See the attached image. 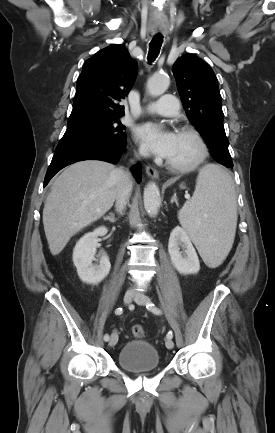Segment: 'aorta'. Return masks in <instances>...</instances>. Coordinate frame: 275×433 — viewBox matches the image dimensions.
Segmentation results:
<instances>
[{
	"instance_id": "aorta-1",
	"label": "aorta",
	"mask_w": 275,
	"mask_h": 433,
	"mask_svg": "<svg viewBox=\"0 0 275 433\" xmlns=\"http://www.w3.org/2000/svg\"><path fill=\"white\" fill-rule=\"evenodd\" d=\"M169 78L166 75L155 74L147 82V90L150 95L157 97L162 95L169 86ZM144 208L146 212L154 217L158 214L161 197L158 186L154 182H149L143 194Z\"/></svg>"
}]
</instances>
